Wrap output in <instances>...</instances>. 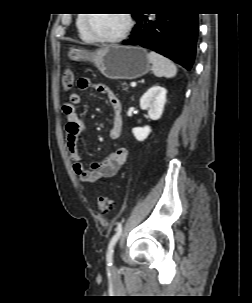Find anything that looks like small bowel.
<instances>
[{
	"label": "small bowel",
	"mask_w": 252,
	"mask_h": 303,
	"mask_svg": "<svg viewBox=\"0 0 252 303\" xmlns=\"http://www.w3.org/2000/svg\"><path fill=\"white\" fill-rule=\"evenodd\" d=\"M78 87L80 90L94 88L107 96L113 111L109 136L113 140L120 138L123 128L122 104L113 90L106 84L93 83L87 78L80 79ZM81 103L82 97L78 93H72L62 107L67 120L65 129L67 149L71 159L74 161L73 170L78 177L84 182L97 183L103 179L114 177L118 173L126 162L128 150L125 147H119L104 160L94 162L91 164L90 169H85L81 162L79 142L86 134L87 127L76 110V106Z\"/></svg>",
	"instance_id": "1"
}]
</instances>
